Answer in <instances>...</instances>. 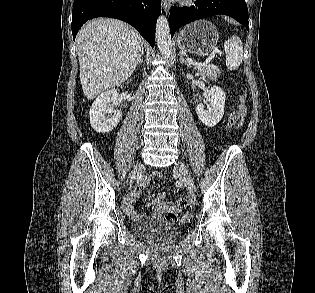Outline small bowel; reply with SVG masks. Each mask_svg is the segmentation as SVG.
Segmentation results:
<instances>
[{"label":"small bowel","mask_w":315,"mask_h":293,"mask_svg":"<svg viewBox=\"0 0 315 293\" xmlns=\"http://www.w3.org/2000/svg\"><path fill=\"white\" fill-rule=\"evenodd\" d=\"M238 119V113H233L230 115V117L227 120L226 125H230L233 122H235ZM162 177V174L160 172H155L150 178L144 179L136 188L135 190L130 194L129 198L125 202L124 208L127 214L133 216V217H139L136 209H135V201L138 197V195L141 193V191L148 185L151 178H160ZM151 205L153 207V217L159 218L161 214L164 212H168L167 218L168 220H177L178 218H181L182 213L181 211H174L173 206L171 203L165 201V193L160 192L157 197L151 202Z\"/></svg>","instance_id":"obj_1"}]
</instances>
